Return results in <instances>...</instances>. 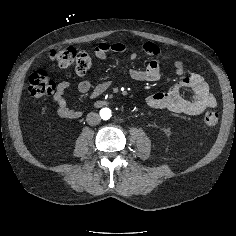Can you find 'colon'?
Listing matches in <instances>:
<instances>
[{"mask_svg": "<svg viewBox=\"0 0 236 236\" xmlns=\"http://www.w3.org/2000/svg\"><path fill=\"white\" fill-rule=\"evenodd\" d=\"M51 59L61 68L74 67L75 71L82 75L92 66L90 55L73 47L53 49L50 53ZM55 90V83L44 70H37L29 77L28 93L34 98L50 96ZM219 122V115L209 111L204 115V123L208 127H215Z\"/></svg>", "mask_w": 236, "mask_h": 236, "instance_id": "colon-1", "label": "colon"}]
</instances>
